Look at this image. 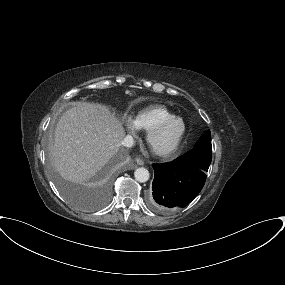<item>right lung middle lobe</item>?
<instances>
[{
	"instance_id": "right-lung-middle-lobe-1",
	"label": "right lung middle lobe",
	"mask_w": 285,
	"mask_h": 285,
	"mask_svg": "<svg viewBox=\"0 0 285 285\" xmlns=\"http://www.w3.org/2000/svg\"><path fill=\"white\" fill-rule=\"evenodd\" d=\"M58 182H59V186H60L61 190L63 191V193L68 198H70L71 200L76 201L77 199H76L75 195L68 189V187L64 183H62L60 181H58Z\"/></svg>"
}]
</instances>
